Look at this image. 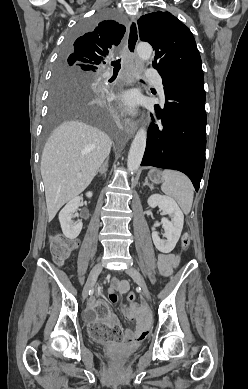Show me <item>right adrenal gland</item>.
I'll return each mask as SVG.
<instances>
[{
  "label": "right adrenal gland",
  "instance_id": "right-adrenal-gland-1",
  "mask_svg": "<svg viewBox=\"0 0 248 389\" xmlns=\"http://www.w3.org/2000/svg\"><path fill=\"white\" fill-rule=\"evenodd\" d=\"M107 163H105L98 171L96 174L104 175L106 176V171H107Z\"/></svg>",
  "mask_w": 248,
  "mask_h": 389
}]
</instances>
